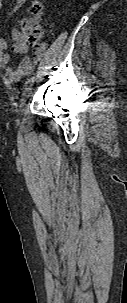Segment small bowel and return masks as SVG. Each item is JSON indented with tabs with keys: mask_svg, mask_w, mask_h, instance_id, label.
<instances>
[{
	"mask_svg": "<svg viewBox=\"0 0 127 303\" xmlns=\"http://www.w3.org/2000/svg\"><path fill=\"white\" fill-rule=\"evenodd\" d=\"M27 0H15L13 6L8 11L11 14L17 11L21 6H23ZM2 9V0H0V10ZM12 36L15 39L13 44V51L17 54H25L28 51V46L20 39L19 31L14 29ZM8 49L7 40L1 35L0 32V67L4 68L5 75L14 82L21 81L25 76H27L37 64V62L44 56L46 52V44L41 43L35 46L32 57H24L18 66H9L11 56L6 52Z\"/></svg>",
	"mask_w": 127,
	"mask_h": 303,
	"instance_id": "1",
	"label": "small bowel"
}]
</instances>
